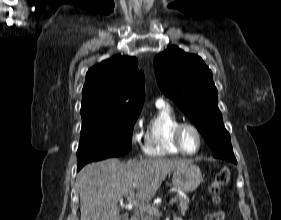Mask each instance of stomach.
I'll list each match as a JSON object with an SVG mask.
<instances>
[{"label": "stomach", "instance_id": "0dacf381", "mask_svg": "<svg viewBox=\"0 0 281 220\" xmlns=\"http://www.w3.org/2000/svg\"><path fill=\"white\" fill-rule=\"evenodd\" d=\"M201 181L202 173L196 165H186L173 171L172 183L183 192L194 191Z\"/></svg>", "mask_w": 281, "mask_h": 220}]
</instances>
